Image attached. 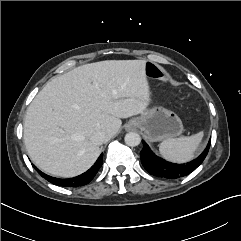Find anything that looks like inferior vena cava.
<instances>
[{
  "instance_id": "obj_1",
  "label": "inferior vena cava",
  "mask_w": 241,
  "mask_h": 241,
  "mask_svg": "<svg viewBox=\"0 0 241 241\" xmlns=\"http://www.w3.org/2000/svg\"><path fill=\"white\" fill-rule=\"evenodd\" d=\"M90 140L96 145H101L106 140L105 133L103 131H96L91 135Z\"/></svg>"
}]
</instances>
